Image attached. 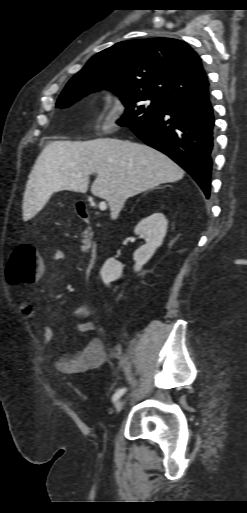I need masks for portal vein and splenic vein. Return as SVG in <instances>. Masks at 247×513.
<instances>
[{"label":"portal vein and splenic vein","instance_id":"obj_1","mask_svg":"<svg viewBox=\"0 0 247 513\" xmlns=\"http://www.w3.org/2000/svg\"><path fill=\"white\" fill-rule=\"evenodd\" d=\"M79 175H80V174H79ZM106 208H107V205H106V202H105V201H102V202H100V203H99V209H100L101 211L106 210Z\"/></svg>","mask_w":247,"mask_h":513}]
</instances>
